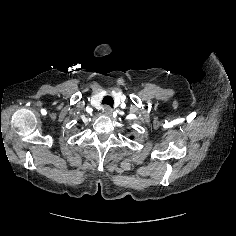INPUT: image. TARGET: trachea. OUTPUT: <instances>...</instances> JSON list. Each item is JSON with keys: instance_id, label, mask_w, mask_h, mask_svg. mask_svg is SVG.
Instances as JSON below:
<instances>
[{"instance_id": "1", "label": "trachea", "mask_w": 236, "mask_h": 236, "mask_svg": "<svg viewBox=\"0 0 236 236\" xmlns=\"http://www.w3.org/2000/svg\"><path fill=\"white\" fill-rule=\"evenodd\" d=\"M114 100L111 96H105L102 100L103 105H108L110 107H113Z\"/></svg>"}]
</instances>
